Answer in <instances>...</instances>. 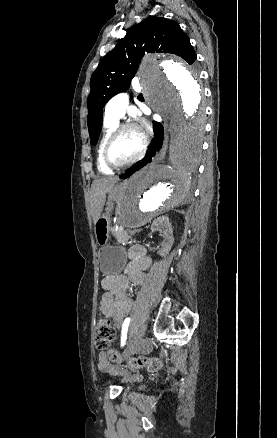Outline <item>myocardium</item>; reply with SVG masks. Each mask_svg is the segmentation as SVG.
I'll list each match as a JSON object with an SVG mask.
<instances>
[{
    "instance_id": "f54148a6",
    "label": "myocardium",
    "mask_w": 277,
    "mask_h": 438,
    "mask_svg": "<svg viewBox=\"0 0 277 438\" xmlns=\"http://www.w3.org/2000/svg\"><path fill=\"white\" fill-rule=\"evenodd\" d=\"M126 130H133L140 136V138H141L140 150H139L138 154L133 159H131L129 161L124 162V163H119V164L114 163L110 159V149H111L113 143L115 142V140L119 137V135ZM146 146H147V140L137 125L130 123V122L118 124L114 128V130L111 132V134L109 135V137L104 145L103 153H102L103 162L105 163V165L108 168L113 169V170H120V169L127 168V167L135 164L137 161H139L143 157L145 150H146Z\"/></svg>"
}]
</instances>
